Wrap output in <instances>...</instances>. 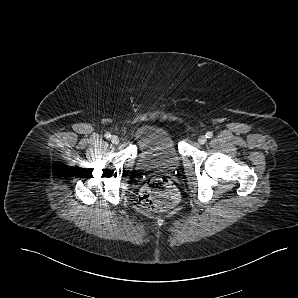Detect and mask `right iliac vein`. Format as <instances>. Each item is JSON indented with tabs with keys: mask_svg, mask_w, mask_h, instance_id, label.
I'll use <instances>...</instances> for the list:
<instances>
[{
	"mask_svg": "<svg viewBox=\"0 0 298 298\" xmlns=\"http://www.w3.org/2000/svg\"><path fill=\"white\" fill-rule=\"evenodd\" d=\"M111 142L114 143V144H118V143H119V138H118V136L113 135V136L111 137Z\"/></svg>",
	"mask_w": 298,
	"mask_h": 298,
	"instance_id": "obj_1",
	"label": "right iliac vein"
}]
</instances>
